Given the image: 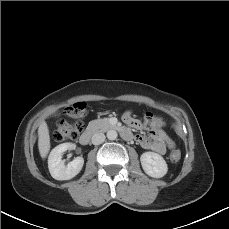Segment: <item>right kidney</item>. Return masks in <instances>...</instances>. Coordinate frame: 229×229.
Wrapping results in <instances>:
<instances>
[{
    "label": "right kidney",
    "instance_id": "1",
    "mask_svg": "<svg viewBox=\"0 0 229 229\" xmlns=\"http://www.w3.org/2000/svg\"><path fill=\"white\" fill-rule=\"evenodd\" d=\"M75 146L72 143H63L56 146L49 155L48 168L51 176L56 180H70L75 177L82 169L84 159L82 157H76L73 161L64 164L61 159L62 154L73 149Z\"/></svg>",
    "mask_w": 229,
    "mask_h": 229
}]
</instances>
